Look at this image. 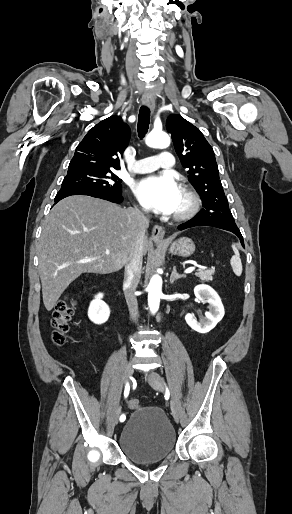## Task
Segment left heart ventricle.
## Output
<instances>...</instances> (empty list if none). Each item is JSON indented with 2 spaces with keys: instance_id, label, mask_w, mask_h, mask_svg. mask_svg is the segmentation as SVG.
Listing matches in <instances>:
<instances>
[{
  "instance_id": "obj_1",
  "label": "left heart ventricle",
  "mask_w": 292,
  "mask_h": 514,
  "mask_svg": "<svg viewBox=\"0 0 292 514\" xmlns=\"http://www.w3.org/2000/svg\"><path fill=\"white\" fill-rule=\"evenodd\" d=\"M184 204H185V201H184V198H183V196L181 194L179 202H178V205H177V208H176L175 211L181 210L184 207Z\"/></svg>"
}]
</instances>
